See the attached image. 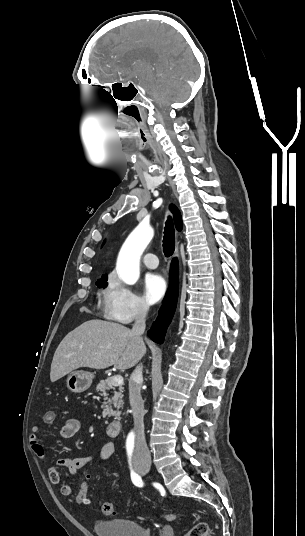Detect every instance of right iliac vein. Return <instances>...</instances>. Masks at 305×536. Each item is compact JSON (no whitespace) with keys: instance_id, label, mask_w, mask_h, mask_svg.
<instances>
[{"instance_id":"1","label":"right iliac vein","mask_w":305,"mask_h":536,"mask_svg":"<svg viewBox=\"0 0 305 536\" xmlns=\"http://www.w3.org/2000/svg\"><path fill=\"white\" fill-rule=\"evenodd\" d=\"M139 469L140 471L145 472V471H149L151 468L148 465H141L139 466Z\"/></svg>"}]
</instances>
